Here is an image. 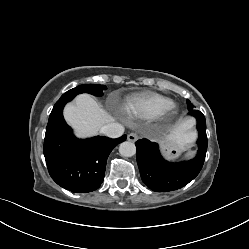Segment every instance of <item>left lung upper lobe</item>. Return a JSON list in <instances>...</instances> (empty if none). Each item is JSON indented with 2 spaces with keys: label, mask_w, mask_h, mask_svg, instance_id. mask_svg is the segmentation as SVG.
<instances>
[{
  "label": "left lung upper lobe",
  "mask_w": 249,
  "mask_h": 249,
  "mask_svg": "<svg viewBox=\"0 0 249 249\" xmlns=\"http://www.w3.org/2000/svg\"><path fill=\"white\" fill-rule=\"evenodd\" d=\"M187 105H188V110L189 111L194 110L193 105L191 104V102L189 100H187Z\"/></svg>",
  "instance_id": "left-lung-upper-lobe-1"
}]
</instances>
